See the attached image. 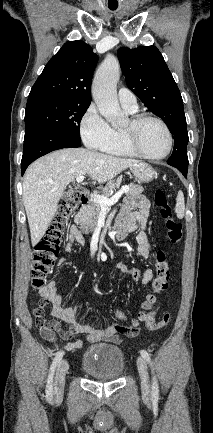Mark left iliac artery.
I'll list each match as a JSON object with an SVG mask.
<instances>
[{"instance_id":"44dca946","label":"left iliac artery","mask_w":213,"mask_h":433,"mask_svg":"<svg viewBox=\"0 0 213 433\" xmlns=\"http://www.w3.org/2000/svg\"><path fill=\"white\" fill-rule=\"evenodd\" d=\"M141 356L148 362L151 364V359H150V355L146 350H141L140 351ZM159 397V387H158V383H157V379L156 377L153 378V383H152V398L153 399H158Z\"/></svg>"}]
</instances>
